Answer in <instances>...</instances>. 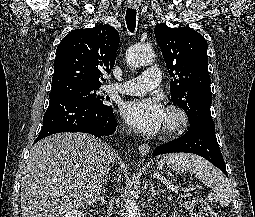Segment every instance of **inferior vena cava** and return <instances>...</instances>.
Instances as JSON below:
<instances>
[{"instance_id": "1", "label": "inferior vena cava", "mask_w": 255, "mask_h": 217, "mask_svg": "<svg viewBox=\"0 0 255 217\" xmlns=\"http://www.w3.org/2000/svg\"><path fill=\"white\" fill-rule=\"evenodd\" d=\"M112 202H113L112 200L109 202L108 215H112V209H113V203Z\"/></svg>"}]
</instances>
